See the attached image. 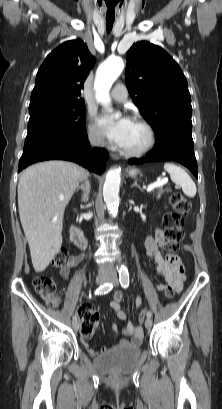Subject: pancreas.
<instances>
[{
  "label": "pancreas",
  "mask_w": 222,
  "mask_h": 409,
  "mask_svg": "<svg viewBox=\"0 0 222 409\" xmlns=\"http://www.w3.org/2000/svg\"><path fill=\"white\" fill-rule=\"evenodd\" d=\"M165 190L163 188H159L157 191V198H160L161 194L164 193Z\"/></svg>",
  "instance_id": "obj_1"
}]
</instances>
